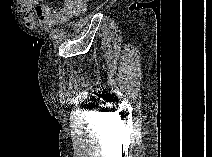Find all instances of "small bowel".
Returning a JSON list of instances; mask_svg holds the SVG:
<instances>
[{"instance_id": "small-bowel-1", "label": "small bowel", "mask_w": 212, "mask_h": 157, "mask_svg": "<svg viewBox=\"0 0 212 157\" xmlns=\"http://www.w3.org/2000/svg\"><path fill=\"white\" fill-rule=\"evenodd\" d=\"M85 0H64L61 9H53L50 3H37L34 7L30 2L21 3V12L23 20L29 24L33 18H36L45 28H51L65 24L72 17L82 13L85 10Z\"/></svg>"}]
</instances>
